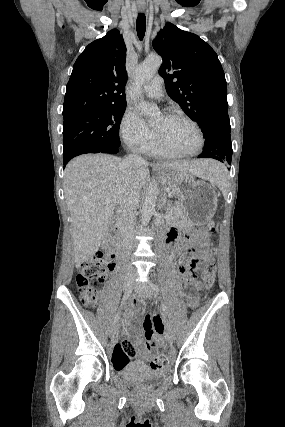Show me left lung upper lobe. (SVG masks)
<instances>
[{
    "label": "left lung upper lobe",
    "instance_id": "obj_1",
    "mask_svg": "<svg viewBox=\"0 0 285 427\" xmlns=\"http://www.w3.org/2000/svg\"><path fill=\"white\" fill-rule=\"evenodd\" d=\"M153 48L163 58L159 73L168 95L188 117L201 129L212 123L230 124L224 71L209 44L167 23Z\"/></svg>",
    "mask_w": 285,
    "mask_h": 427
}]
</instances>
